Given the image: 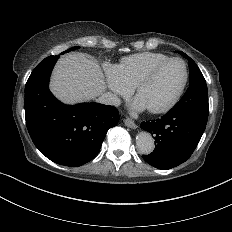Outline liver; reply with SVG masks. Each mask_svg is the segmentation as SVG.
Listing matches in <instances>:
<instances>
[{"label": "liver", "mask_w": 232, "mask_h": 232, "mask_svg": "<svg viewBox=\"0 0 232 232\" xmlns=\"http://www.w3.org/2000/svg\"><path fill=\"white\" fill-rule=\"evenodd\" d=\"M104 89V79L96 60L71 53L57 65L52 90L68 102L95 98Z\"/></svg>", "instance_id": "6515ba94"}]
</instances>
